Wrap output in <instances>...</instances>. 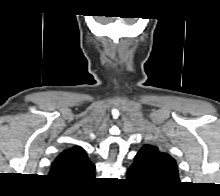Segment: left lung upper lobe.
Listing matches in <instances>:
<instances>
[{
  "label": "left lung upper lobe",
  "mask_w": 220,
  "mask_h": 196,
  "mask_svg": "<svg viewBox=\"0 0 220 196\" xmlns=\"http://www.w3.org/2000/svg\"><path fill=\"white\" fill-rule=\"evenodd\" d=\"M139 164L151 181L159 188L178 183L179 174L176 161L166 152L153 145H144L136 155Z\"/></svg>",
  "instance_id": "5c2ea615"
}]
</instances>
